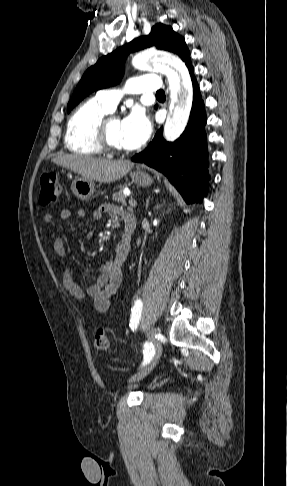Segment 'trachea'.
<instances>
[{"label": "trachea", "mask_w": 287, "mask_h": 486, "mask_svg": "<svg viewBox=\"0 0 287 486\" xmlns=\"http://www.w3.org/2000/svg\"><path fill=\"white\" fill-rule=\"evenodd\" d=\"M157 96H165V92L163 90H159L157 93H156Z\"/></svg>", "instance_id": "3493384b"}]
</instances>
